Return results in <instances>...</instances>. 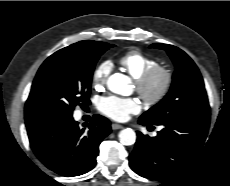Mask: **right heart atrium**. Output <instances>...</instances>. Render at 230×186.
I'll return each instance as SVG.
<instances>
[{"instance_id":"1","label":"right heart atrium","mask_w":230,"mask_h":186,"mask_svg":"<svg viewBox=\"0 0 230 186\" xmlns=\"http://www.w3.org/2000/svg\"><path fill=\"white\" fill-rule=\"evenodd\" d=\"M112 67V63L108 60L100 62L95 67L92 74V83L95 87H102L106 83L112 71Z\"/></svg>"}]
</instances>
